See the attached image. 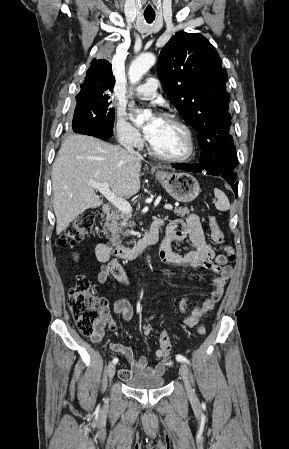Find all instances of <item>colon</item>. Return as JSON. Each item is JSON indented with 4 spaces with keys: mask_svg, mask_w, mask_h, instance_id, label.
Returning <instances> with one entry per match:
<instances>
[{
    "mask_svg": "<svg viewBox=\"0 0 289 449\" xmlns=\"http://www.w3.org/2000/svg\"><path fill=\"white\" fill-rule=\"evenodd\" d=\"M93 222V213L89 211L83 212L66 228L60 243L74 244L80 242L90 232ZM208 226L213 243L216 245L223 244L224 234L214 216L209 217ZM224 250L227 260L232 262L235 258L233 248L226 246ZM68 306L79 332L87 337L96 335L100 328L104 301L91 290L90 283L84 276H79L75 285L69 290ZM152 332L153 329L150 325H145L142 328L144 336H149ZM197 332L199 335H205L206 327L204 325L199 326ZM171 348L168 334L165 331L161 332L159 336V350L168 364H171L169 359Z\"/></svg>",
    "mask_w": 289,
    "mask_h": 449,
    "instance_id": "obj_1",
    "label": "colon"
}]
</instances>
